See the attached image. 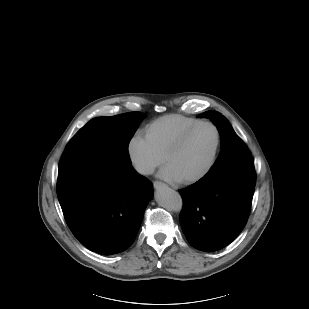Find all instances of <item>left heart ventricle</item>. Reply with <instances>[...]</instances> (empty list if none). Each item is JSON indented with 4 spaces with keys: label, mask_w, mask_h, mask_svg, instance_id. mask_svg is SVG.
<instances>
[{
    "label": "left heart ventricle",
    "mask_w": 309,
    "mask_h": 309,
    "mask_svg": "<svg viewBox=\"0 0 309 309\" xmlns=\"http://www.w3.org/2000/svg\"><path fill=\"white\" fill-rule=\"evenodd\" d=\"M216 143V132L208 125L197 128L168 161L183 179L202 171L208 164Z\"/></svg>",
    "instance_id": "obj_1"
}]
</instances>
